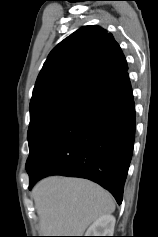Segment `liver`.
Listing matches in <instances>:
<instances>
[{
	"label": "liver",
	"mask_w": 158,
	"mask_h": 237,
	"mask_svg": "<svg viewBox=\"0 0 158 237\" xmlns=\"http://www.w3.org/2000/svg\"><path fill=\"white\" fill-rule=\"evenodd\" d=\"M32 196L41 236H82L92 222L115 210L111 194L85 179L48 177L34 186Z\"/></svg>",
	"instance_id": "6515ba94"
}]
</instances>
